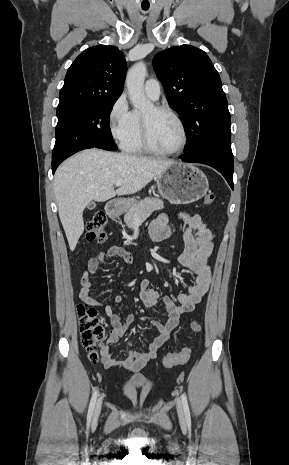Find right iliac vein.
<instances>
[{"instance_id": "right-iliac-vein-1", "label": "right iliac vein", "mask_w": 289, "mask_h": 465, "mask_svg": "<svg viewBox=\"0 0 289 465\" xmlns=\"http://www.w3.org/2000/svg\"><path fill=\"white\" fill-rule=\"evenodd\" d=\"M101 405H102V398H99L97 404H96V408H95V412H94V420H97L99 414H100V411H101Z\"/></svg>"}]
</instances>
